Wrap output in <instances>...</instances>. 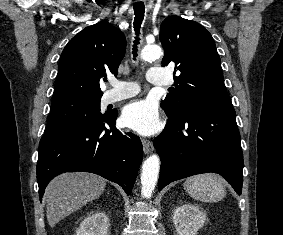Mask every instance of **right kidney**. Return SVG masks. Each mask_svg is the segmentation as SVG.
Returning <instances> with one entry per match:
<instances>
[{
  "mask_svg": "<svg viewBox=\"0 0 283 235\" xmlns=\"http://www.w3.org/2000/svg\"><path fill=\"white\" fill-rule=\"evenodd\" d=\"M109 220L104 212L88 215L76 230V235H108Z\"/></svg>",
  "mask_w": 283,
  "mask_h": 235,
  "instance_id": "right-kidney-1",
  "label": "right kidney"
}]
</instances>
